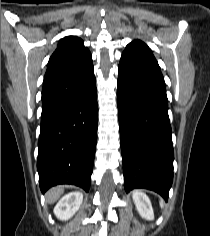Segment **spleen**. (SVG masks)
<instances>
[{"instance_id": "3e777b00", "label": "spleen", "mask_w": 210, "mask_h": 236, "mask_svg": "<svg viewBox=\"0 0 210 236\" xmlns=\"http://www.w3.org/2000/svg\"><path fill=\"white\" fill-rule=\"evenodd\" d=\"M160 205H161V207H163V202L162 201L160 202Z\"/></svg>"}]
</instances>
